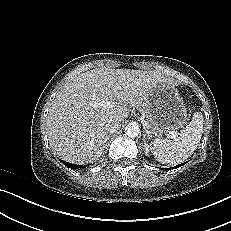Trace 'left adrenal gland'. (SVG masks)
I'll use <instances>...</instances> for the list:
<instances>
[{
  "mask_svg": "<svg viewBox=\"0 0 231 231\" xmlns=\"http://www.w3.org/2000/svg\"><path fill=\"white\" fill-rule=\"evenodd\" d=\"M145 137H146V135L144 134V135H143L144 142L146 141V140H145Z\"/></svg>",
  "mask_w": 231,
  "mask_h": 231,
  "instance_id": "obj_1",
  "label": "left adrenal gland"
}]
</instances>
